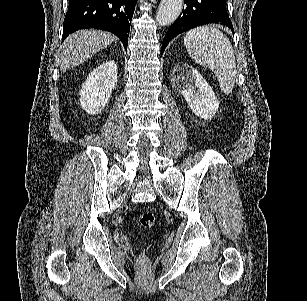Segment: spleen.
I'll use <instances>...</instances> for the list:
<instances>
[{"mask_svg": "<svg viewBox=\"0 0 307 301\" xmlns=\"http://www.w3.org/2000/svg\"><path fill=\"white\" fill-rule=\"evenodd\" d=\"M184 44L195 62L213 70L222 92L230 94L237 72L235 54L228 36L214 26H196L186 32Z\"/></svg>", "mask_w": 307, "mask_h": 301, "instance_id": "1", "label": "spleen"}]
</instances>
